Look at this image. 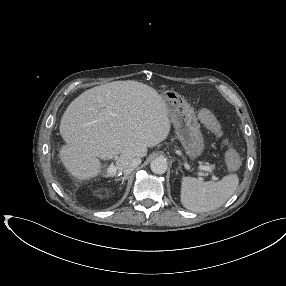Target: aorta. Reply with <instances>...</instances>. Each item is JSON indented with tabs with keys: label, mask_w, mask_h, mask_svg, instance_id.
<instances>
[{
	"label": "aorta",
	"mask_w": 286,
	"mask_h": 286,
	"mask_svg": "<svg viewBox=\"0 0 286 286\" xmlns=\"http://www.w3.org/2000/svg\"><path fill=\"white\" fill-rule=\"evenodd\" d=\"M150 168L155 174H164L167 171L168 164L164 158L158 157L151 161Z\"/></svg>",
	"instance_id": "762f6f07"
}]
</instances>
